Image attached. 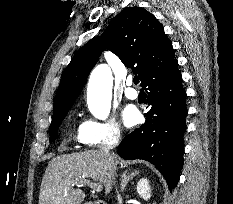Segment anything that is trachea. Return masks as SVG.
<instances>
[{
  "label": "trachea",
  "instance_id": "3493384b",
  "mask_svg": "<svg viewBox=\"0 0 233 204\" xmlns=\"http://www.w3.org/2000/svg\"><path fill=\"white\" fill-rule=\"evenodd\" d=\"M134 84H138L139 83V78L137 76L134 77L133 79Z\"/></svg>",
  "mask_w": 233,
  "mask_h": 204
}]
</instances>
